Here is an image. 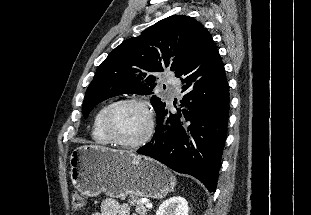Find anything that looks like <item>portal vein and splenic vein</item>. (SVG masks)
I'll list each match as a JSON object with an SVG mask.
<instances>
[{"label": "portal vein and splenic vein", "mask_w": 311, "mask_h": 215, "mask_svg": "<svg viewBox=\"0 0 311 215\" xmlns=\"http://www.w3.org/2000/svg\"><path fill=\"white\" fill-rule=\"evenodd\" d=\"M146 207H147V208H152V204L149 203V202H147V203H146Z\"/></svg>", "instance_id": "portal-vein-and-splenic-vein-1"}]
</instances>
